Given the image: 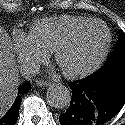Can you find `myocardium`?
I'll use <instances>...</instances> for the list:
<instances>
[{
  "label": "myocardium",
  "mask_w": 125,
  "mask_h": 125,
  "mask_svg": "<svg viewBox=\"0 0 125 125\" xmlns=\"http://www.w3.org/2000/svg\"><path fill=\"white\" fill-rule=\"evenodd\" d=\"M98 24L100 26L103 27L104 31H105V42L104 45L102 47L101 52L99 53L98 57L92 61L90 64H88L87 66L78 69L76 71H66L64 69H62L60 67V55L62 53V51L68 46L70 45L75 38L77 37V35L84 30L85 28ZM111 42H112V34L111 31L109 29V27L101 20L98 19H89L87 21H85L84 23L76 26L75 28H73L68 34H66L63 38H61L56 45L53 48V58L55 63L57 64V66L60 68L62 74L69 79H78V78H83L85 76L90 75L91 73L95 72L97 69H99L101 67V65L103 64V62L106 60L109 50H110V46H111Z\"/></svg>",
  "instance_id": "myocardium-1"
}]
</instances>
